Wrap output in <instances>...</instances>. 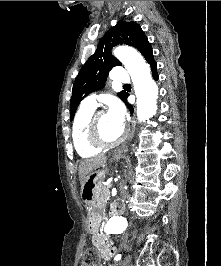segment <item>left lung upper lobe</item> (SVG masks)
Listing matches in <instances>:
<instances>
[{
	"label": "left lung upper lobe",
	"instance_id": "left-lung-upper-lobe-1",
	"mask_svg": "<svg viewBox=\"0 0 221 266\" xmlns=\"http://www.w3.org/2000/svg\"><path fill=\"white\" fill-rule=\"evenodd\" d=\"M118 44H126L137 48L150 64L154 61L152 47L136 22L119 21L110 28L99 41L95 53L87 60L76 77L70 101L71 120L79 103L90 93L103 88L109 71L121 63L111 54ZM127 93L121 91L118 96L123 101Z\"/></svg>",
	"mask_w": 221,
	"mask_h": 266
}]
</instances>
